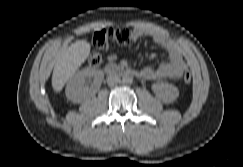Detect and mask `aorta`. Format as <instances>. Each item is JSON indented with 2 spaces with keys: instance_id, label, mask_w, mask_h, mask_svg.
Returning a JSON list of instances; mask_svg holds the SVG:
<instances>
[{
  "instance_id": "1",
  "label": "aorta",
  "mask_w": 243,
  "mask_h": 167,
  "mask_svg": "<svg viewBox=\"0 0 243 167\" xmlns=\"http://www.w3.org/2000/svg\"><path fill=\"white\" fill-rule=\"evenodd\" d=\"M122 82L124 84H131L133 82V77L130 74H124L122 77Z\"/></svg>"
}]
</instances>
